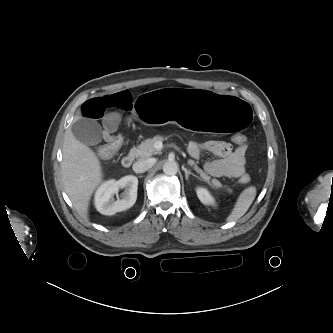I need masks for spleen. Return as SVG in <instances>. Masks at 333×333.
<instances>
[{
	"label": "spleen",
	"instance_id": "3e777b00",
	"mask_svg": "<svg viewBox=\"0 0 333 333\" xmlns=\"http://www.w3.org/2000/svg\"><path fill=\"white\" fill-rule=\"evenodd\" d=\"M256 193V187L254 186L245 188L238 196L234 208L226 220L228 222H233L240 219L251 206L256 197Z\"/></svg>",
	"mask_w": 333,
	"mask_h": 333
}]
</instances>
